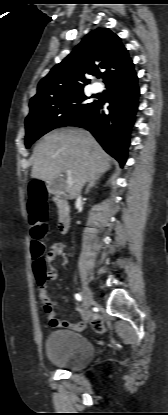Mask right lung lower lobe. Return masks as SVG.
<instances>
[{
	"label": "right lung lower lobe",
	"instance_id": "1",
	"mask_svg": "<svg viewBox=\"0 0 168 415\" xmlns=\"http://www.w3.org/2000/svg\"><path fill=\"white\" fill-rule=\"evenodd\" d=\"M134 65L112 77L105 84L108 97L99 98L82 117L68 126L90 131L104 150L123 166L127 159L130 130L138 107L139 88ZM108 102V112L103 105Z\"/></svg>",
	"mask_w": 168,
	"mask_h": 415
}]
</instances>
